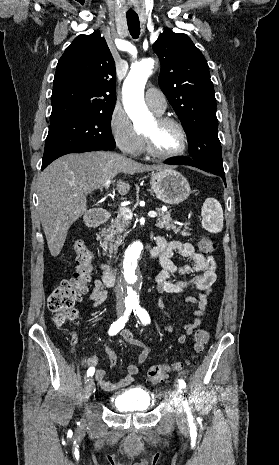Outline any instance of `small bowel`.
Masks as SVG:
<instances>
[{
  "label": "small bowel",
  "instance_id": "1",
  "mask_svg": "<svg viewBox=\"0 0 279 465\" xmlns=\"http://www.w3.org/2000/svg\"><path fill=\"white\" fill-rule=\"evenodd\" d=\"M154 249L157 251L159 271L156 275V282L159 292L161 293H184L189 290L199 291L198 297H187L186 302L195 305L197 309L194 311L196 318L183 325L179 343H184L187 337L199 327L203 321V313L206 308V299L214 282L216 281V268L217 264L213 256L199 253L195 250L193 245L189 242H182L178 240L167 241L163 237L156 238V246ZM175 253L185 258L187 262L183 265H177L173 262L172 257ZM107 266L103 265V272ZM191 275L192 279L189 281H181L177 276ZM108 287L103 279H96L94 281L93 290L90 294L89 300L93 306H98L105 302L108 297L106 290ZM174 325H169L164 328L165 332H172ZM122 337L131 345L140 348L137 360L127 366V375L117 383H111L106 380V371L102 368H97L99 358L97 355H92L86 361V366L94 368L95 379L102 390L111 392L120 388L129 386L134 376L139 372L140 366L147 360L151 354L152 348L138 339L129 330L122 332ZM107 354L109 367L113 368L116 365V353L114 349L108 344H104Z\"/></svg>",
  "mask_w": 279,
  "mask_h": 465
}]
</instances>
